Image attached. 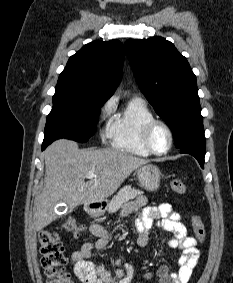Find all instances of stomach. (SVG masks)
Wrapping results in <instances>:
<instances>
[{
	"label": "stomach",
	"mask_w": 233,
	"mask_h": 283,
	"mask_svg": "<svg viewBox=\"0 0 233 283\" xmlns=\"http://www.w3.org/2000/svg\"><path fill=\"white\" fill-rule=\"evenodd\" d=\"M137 178L139 180L140 186L145 190L153 192L156 191L160 186L161 172L156 165L145 164L140 166L137 171ZM93 215H98L100 212L94 213Z\"/></svg>",
	"instance_id": "1"
}]
</instances>
